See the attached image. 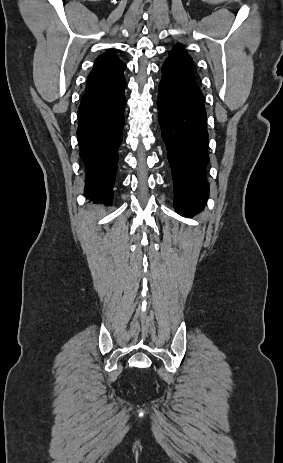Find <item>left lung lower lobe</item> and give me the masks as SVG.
<instances>
[{"label":"left lung lower lobe","mask_w":283,"mask_h":463,"mask_svg":"<svg viewBox=\"0 0 283 463\" xmlns=\"http://www.w3.org/2000/svg\"><path fill=\"white\" fill-rule=\"evenodd\" d=\"M161 71L158 119L172 168L174 206L188 216L203 209L209 192L207 115L195 77L169 60Z\"/></svg>","instance_id":"obj_1"}]
</instances>
